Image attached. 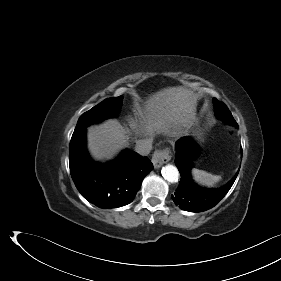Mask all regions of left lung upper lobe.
<instances>
[{"label": "left lung upper lobe", "mask_w": 281, "mask_h": 281, "mask_svg": "<svg viewBox=\"0 0 281 281\" xmlns=\"http://www.w3.org/2000/svg\"><path fill=\"white\" fill-rule=\"evenodd\" d=\"M214 104H215V112L218 118L224 119L228 123L237 126L236 121L234 120L232 114L230 113L229 109L226 107L224 103L220 102L217 99H214Z\"/></svg>", "instance_id": "left-lung-upper-lobe-1"}]
</instances>
